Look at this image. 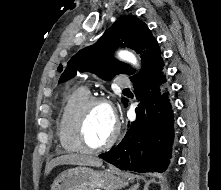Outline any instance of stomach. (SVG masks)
I'll list each match as a JSON object with an SVG mask.
<instances>
[{"mask_svg": "<svg viewBox=\"0 0 221 190\" xmlns=\"http://www.w3.org/2000/svg\"><path fill=\"white\" fill-rule=\"evenodd\" d=\"M130 181V177L120 176L111 170L75 167L59 174L51 185V190H119Z\"/></svg>", "mask_w": 221, "mask_h": 190, "instance_id": "stomach-1", "label": "stomach"}]
</instances>
